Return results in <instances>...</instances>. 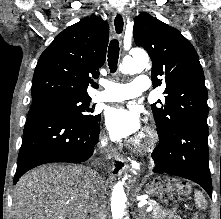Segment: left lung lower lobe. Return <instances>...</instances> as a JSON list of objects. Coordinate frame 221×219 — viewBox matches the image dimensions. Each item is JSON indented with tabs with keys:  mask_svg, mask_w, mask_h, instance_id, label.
Listing matches in <instances>:
<instances>
[{
	"mask_svg": "<svg viewBox=\"0 0 221 219\" xmlns=\"http://www.w3.org/2000/svg\"><path fill=\"white\" fill-rule=\"evenodd\" d=\"M207 138L208 128L195 123H183L159 135L160 144L152 153V171L192 180L212 198Z\"/></svg>",
	"mask_w": 221,
	"mask_h": 219,
	"instance_id": "0a47b994",
	"label": "left lung lower lobe"
}]
</instances>
